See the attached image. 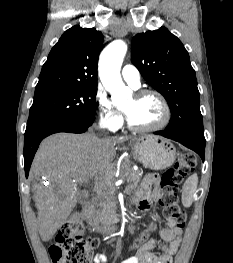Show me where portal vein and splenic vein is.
<instances>
[{
	"instance_id": "1",
	"label": "portal vein and splenic vein",
	"mask_w": 233,
	"mask_h": 263,
	"mask_svg": "<svg viewBox=\"0 0 233 263\" xmlns=\"http://www.w3.org/2000/svg\"><path fill=\"white\" fill-rule=\"evenodd\" d=\"M79 183H88L89 182V178L88 177H83V178H80L79 179V181H78Z\"/></svg>"
}]
</instances>
